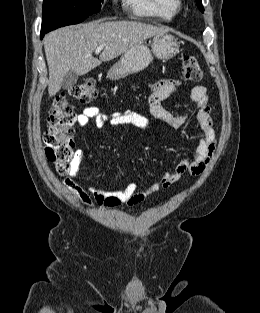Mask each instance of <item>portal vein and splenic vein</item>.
Returning <instances> with one entry per match:
<instances>
[{
    "label": "portal vein and splenic vein",
    "mask_w": 260,
    "mask_h": 313,
    "mask_svg": "<svg viewBox=\"0 0 260 313\" xmlns=\"http://www.w3.org/2000/svg\"><path fill=\"white\" fill-rule=\"evenodd\" d=\"M104 48V45H100L96 48V53H99Z\"/></svg>",
    "instance_id": "portal-vein-and-splenic-vein-1"
}]
</instances>
